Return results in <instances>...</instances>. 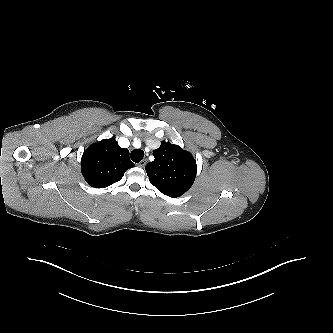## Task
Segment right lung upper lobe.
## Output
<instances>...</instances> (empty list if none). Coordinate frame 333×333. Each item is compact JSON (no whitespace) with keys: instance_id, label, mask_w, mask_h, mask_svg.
<instances>
[{"instance_id":"right-lung-upper-lobe-1","label":"right lung upper lobe","mask_w":333,"mask_h":333,"mask_svg":"<svg viewBox=\"0 0 333 333\" xmlns=\"http://www.w3.org/2000/svg\"><path fill=\"white\" fill-rule=\"evenodd\" d=\"M132 167L128 149L121 148L114 138L92 144L81 158L82 175L95 188H105L121 180Z\"/></svg>"}]
</instances>
